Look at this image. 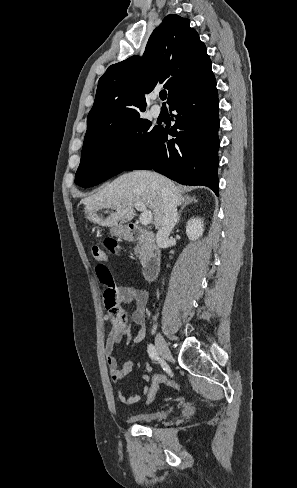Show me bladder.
I'll list each match as a JSON object with an SVG mask.
<instances>
[{
	"label": "bladder",
	"instance_id": "31cf9c89",
	"mask_svg": "<svg viewBox=\"0 0 297 488\" xmlns=\"http://www.w3.org/2000/svg\"><path fill=\"white\" fill-rule=\"evenodd\" d=\"M167 415L168 412L137 413L129 415L127 419L131 423L150 424L164 419Z\"/></svg>",
	"mask_w": 297,
	"mask_h": 488
}]
</instances>
